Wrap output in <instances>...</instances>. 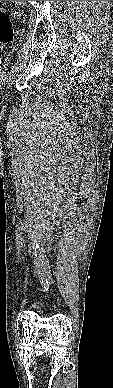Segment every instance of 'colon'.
<instances>
[{
    "mask_svg": "<svg viewBox=\"0 0 113 388\" xmlns=\"http://www.w3.org/2000/svg\"><path fill=\"white\" fill-rule=\"evenodd\" d=\"M14 36V29L9 12L0 9V51L9 44Z\"/></svg>",
    "mask_w": 113,
    "mask_h": 388,
    "instance_id": "5ec220e1",
    "label": "colon"
}]
</instances>
